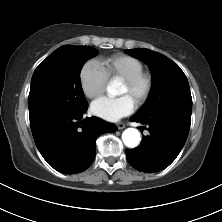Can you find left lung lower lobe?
<instances>
[{
	"mask_svg": "<svg viewBox=\"0 0 222 222\" xmlns=\"http://www.w3.org/2000/svg\"><path fill=\"white\" fill-rule=\"evenodd\" d=\"M130 121L149 126V136H142L141 145L126 150L133 168L154 173L169 166L183 148L190 128L191 113L176 107L158 109L148 114H135Z\"/></svg>",
	"mask_w": 222,
	"mask_h": 222,
	"instance_id": "obj_1",
	"label": "left lung lower lobe"
}]
</instances>
